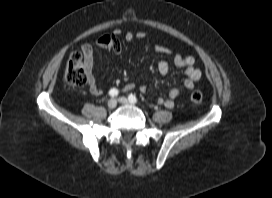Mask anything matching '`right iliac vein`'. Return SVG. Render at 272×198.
<instances>
[{
  "label": "right iliac vein",
  "mask_w": 272,
  "mask_h": 198,
  "mask_svg": "<svg viewBox=\"0 0 272 198\" xmlns=\"http://www.w3.org/2000/svg\"><path fill=\"white\" fill-rule=\"evenodd\" d=\"M107 105L110 109H114L117 106V100L112 98L108 101Z\"/></svg>",
  "instance_id": "63e3f726"
}]
</instances>
